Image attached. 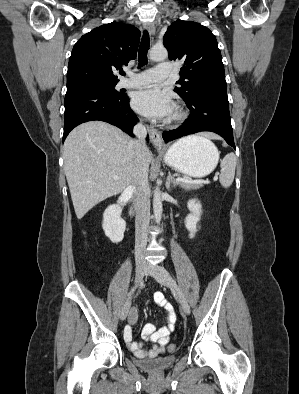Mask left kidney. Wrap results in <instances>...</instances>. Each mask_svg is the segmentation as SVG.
<instances>
[{"label": "left kidney", "instance_id": "obj_1", "mask_svg": "<svg viewBox=\"0 0 299 394\" xmlns=\"http://www.w3.org/2000/svg\"><path fill=\"white\" fill-rule=\"evenodd\" d=\"M190 214L185 219V226L188 230L196 231L197 223L200 221L202 206L196 199H191L187 203Z\"/></svg>", "mask_w": 299, "mask_h": 394}]
</instances>
